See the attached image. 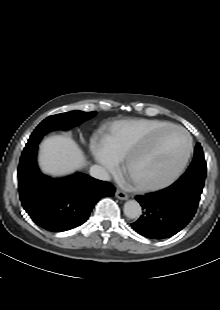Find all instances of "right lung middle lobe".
<instances>
[{
  "instance_id": "right-lung-middle-lobe-1",
  "label": "right lung middle lobe",
  "mask_w": 220,
  "mask_h": 310,
  "mask_svg": "<svg viewBox=\"0 0 220 310\" xmlns=\"http://www.w3.org/2000/svg\"><path fill=\"white\" fill-rule=\"evenodd\" d=\"M95 115L96 112L70 111L67 113L49 116L36 127L28 140V144H38L47 132L55 129L67 130L70 127L78 125Z\"/></svg>"
}]
</instances>
